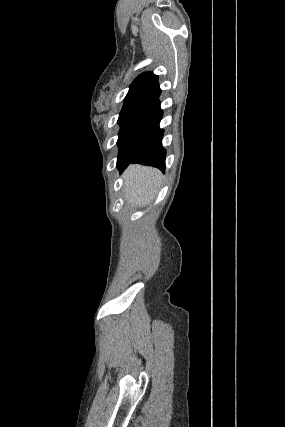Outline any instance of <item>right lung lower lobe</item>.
Listing matches in <instances>:
<instances>
[{"mask_svg":"<svg viewBox=\"0 0 285 427\" xmlns=\"http://www.w3.org/2000/svg\"><path fill=\"white\" fill-rule=\"evenodd\" d=\"M162 116L163 111L160 106L147 115L143 126L142 144L129 163L118 167L120 172L130 163H139L157 167L162 171L165 170L166 151L162 146L163 130L159 127Z\"/></svg>","mask_w":285,"mask_h":427,"instance_id":"obj_1","label":"right lung lower lobe"}]
</instances>
